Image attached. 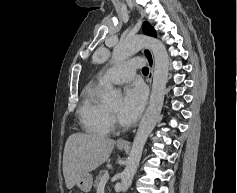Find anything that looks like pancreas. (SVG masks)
<instances>
[{"mask_svg": "<svg viewBox=\"0 0 237 193\" xmlns=\"http://www.w3.org/2000/svg\"><path fill=\"white\" fill-rule=\"evenodd\" d=\"M105 172H106L105 170H101L100 173H99V175L96 176V179H95V181H94V187H95V188L98 186V184H99V182H100L102 176L105 174Z\"/></svg>", "mask_w": 237, "mask_h": 193, "instance_id": "pancreas-1", "label": "pancreas"}]
</instances>
